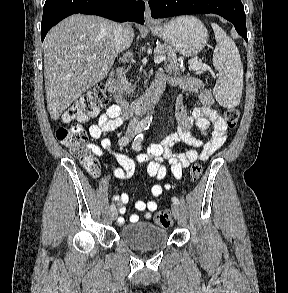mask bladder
Masks as SVG:
<instances>
[{
	"instance_id": "obj_1",
	"label": "bladder",
	"mask_w": 288,
	"mask_h": 293,
	"mask_svg": "<svg viewBox=\"0 0 288 293\" xmlns=\"http://www.w3.org/2000/svg\"><path fill=\"white\" fill-rule=\"evenodd\" d=\"M120 238L136 249H156L167 242L168 232L166 228L150 222H137L123 226L120 230Z\"/></svg>"
}]
</instances>
